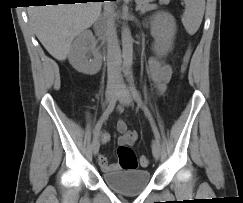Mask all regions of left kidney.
Here are the masks:
<instances>
[{
	"instance_id": "obj_1",
	"label": "left kidney",
	"mask_w": 243,
	"mask_h": 203,
	"mask_svg": "<svg viewBox=\"0 0 243 203\" xmlns=\"http://www.w3.org/2000/svg\"><path fill=\"white\" fill-rule=\"evenodd\" d=\"M176 24L169 14L162 15L161 19L154 22L151 34L155 39L154 50L157 54L165 55L172 48Z\"/></svg>"
}]
</instances>
